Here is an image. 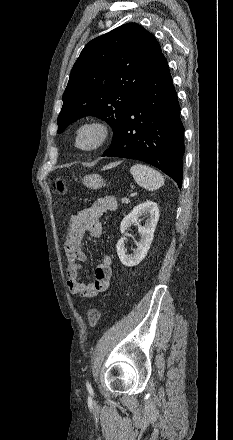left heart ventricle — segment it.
Masks as SVG:
<instances>
[{
  "label": "left heart ventricle",
  "instance_id": "1",
  "mask_svg": "<svg viewBox=\"0 0 233 440\" xmlns=\"http://www.w3.org/2000/svg\"><path fill=\"white\" fill-rule=\"evenodd\" d=\"M98 139V133L94 129H86L80 135V144L88 147L93 145Z\"/></svg>",
  "mask_w": 233,
  "mask_h": 440
}]
</instances>
